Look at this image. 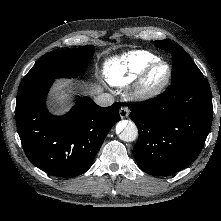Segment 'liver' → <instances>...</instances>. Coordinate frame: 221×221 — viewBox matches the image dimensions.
<instances>
[{
  "label": "liver",
  "instance_id": "1",
  "mask_svg": "<svg viewBox=\"0 0 221 221\" xmlns=\"http://www.w3.org/2000/svg\"><path fill=\"white\" fill-rule=\"evenodd\" d=\"M68 85V82H62L60 83L55 90L53 91V95L57 101V104L62 106L67 102V94L65 93V91H63V88L65 86ZM101 88L100 87H93L90 91L89 94L93 95V94H98L100 93Z\"/></svg>",
  "mask_w": 221,
  "mask_h": 221
}]
</instances>
